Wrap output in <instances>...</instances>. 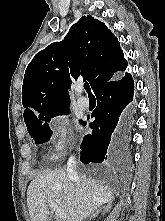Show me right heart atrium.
I'll return each instance as SVG.
<instances>
[{
  "mask_svg": "<svg viewBox=\"0 0 165 221\" xmlns=\"http://www.w3.org/2000/svg\"><path fill=\"white\" fill-rule=\"evenodd\" d=\"M50 156L58 159L74 145V133L70 120L65 115H57L51 122Z\"/></svg>",
  "mask_w": 165,
  "mask_h": 221,
  "instance_id": "d8ad5b80",
  "label": "right heart atrium"
}]
</instances>
